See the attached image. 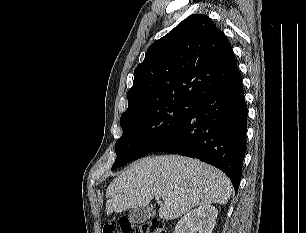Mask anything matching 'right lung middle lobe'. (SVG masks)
<instances>
[{
	"mask_svg": "<svg viewBox=\"0 0 306 233\" xmlns=\"http://www.w3.org/2000/svg\"><path fill=\"white\" fill-rule=\"evenodd\" d=\"M186 99H163L125 113L122 137L115 144L117 158L111 170L151 152L164 142L196 107Z\"/></svg>",
	"mask_w": 306,
	"mask_h": 233,
	"instance_id": "1",
	"label": "right lung middle lobe"
}]
</instances>
